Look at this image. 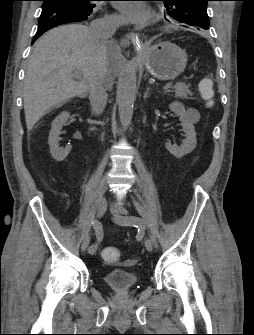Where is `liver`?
<instances>
[{
	"instance_id": "obj_1",
	"label": "liver",
	"mask_w": 254,
	"mask_h": 335,
	"mask_svg": "<svg viewBox=\"0 0 254 335\" xmlns=\"http://www.w3.org/2000/svg\"><path fill=\"white\" fill-rule=\"evenodd\" d=\"M121 61L119 45L113 40L94 42L85 25H63L45 33L35 44L24 80L27 129L31 130L50 109L84 96L89 80L99 69L106 72V88L112 89Z\"/></svg>"
}]
</instances>
